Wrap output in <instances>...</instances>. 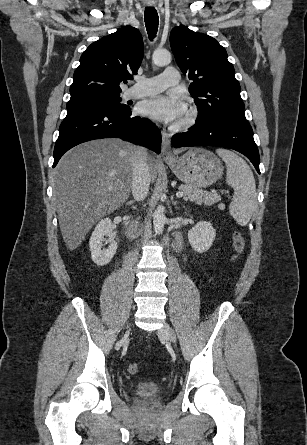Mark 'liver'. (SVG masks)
Listing matches in <instances>:
<instances>
[{"label":"liver","instance_id":"obj_1","mask_svg":"<svg viewBox=\"0 0 307 445\" xmlns=\"http://www.w3.org/2000/svg\"><path fill=\"white\" fill-rule=\"evenodd\" d=\"M134 152L131 142L99 138L74 146L59 160L53 172V198L69 251L81 245L97 220L120 208L128 198ZM147 160L154 182L161 160L150 154Z\"/></svg>","mask_w":307,"mask_h":445}]
</instances>
